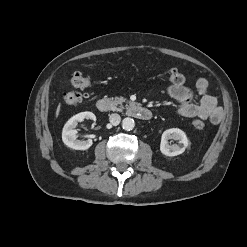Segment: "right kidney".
Segmentation results:
<instances>
[{"label":"right kidney","instance_id":"1","mask_svg":"<svg viewBox=\"0 0 247 247\" xmlns=\"http://www.w3.org/2000/svg\"><path fill=\"white\" fill-rule=\"evenodd\" d=\"M84 119L96 120V116L92 112H81L71 117L63 127L62 140L64 144L75 150H87L93 144L91 139L78 140L76 137L77 130L75 129L79 122Z\"/></svg>","mask_w":247,"mask_h":247}]
</instances>
